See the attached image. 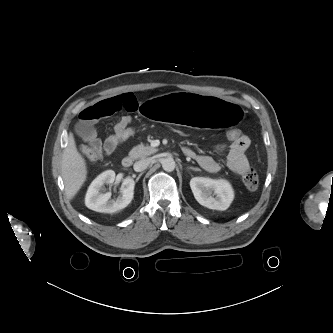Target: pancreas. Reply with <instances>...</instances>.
<instances>
[{
	"mask_svg": "<svg viewBox=\"0 0 333 333\" xmlns=\"http://www.w3.org/2000/svg\"><path fill=\"white\" fill-rule=\"evenodd\" d=\"M158 149L153 148L151 146H144L143 144L137 145L131 149L129 152L130 156L137 159H144L147 156L157 152Z\"/></svg>",
	"mask_w": 333,
	"mask_h": 333,
	"instance_id": "cf45deb5",
	"label": "pancreas"
}]
</instances>
